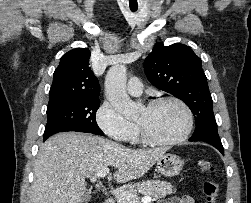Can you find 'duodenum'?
<instances>
[{
  "mask_svg": "<svg viewBox=\"0 0 251 203\" xmlns=\"http://www.w3.org/2000/svg\"><path fill=\"white\" fill-rule=\"evenodd\" d=\"M103 203H115V200H114V198H108V199L104 200Z\"/></svg>",
  "mask_w": 251,
  "mask_h": 203,
  "instance_id": "410a0bca",
  "label": "duodenum"
}]
</instances>
